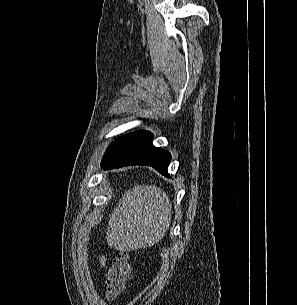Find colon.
I'll return each instance as SVG.
<instances>
[{
	"mask_svg": "<svg viewBox=\"0 0 297 305\" xmlns=\"http://www.w3.org/2000/svg\"><path fill=\"white\" fill-rule=\"evenodd\" d=\"M132 274L130 257L126 253L117 255L104 281V292L109 300H115L124 291L126 281Z\"/></svg>",
	"mask_w": 297,
	"mask_h": 305,
	"instance_id": "obj_1",
	"label": "colon"
}]
</instances>
